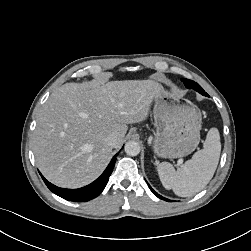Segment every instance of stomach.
Masks as SVG:
<instances>
[{"mask_svg":"<svg viewBox=\"0 0 251 251\" xmlns=\"http://www.w3.org/2000/svg\"><path fill=\"white\" fill-rule=\"evenodd\" d=\"M156 133L154 153L161 158H180L192 153L200 141L202 115L189 100L162 87L154 99Z\"/></svg>","mask_w":251,"mask_h":251,"instance_id":"obj_1","label":"stomach"}]
</instances>
